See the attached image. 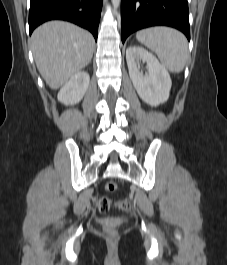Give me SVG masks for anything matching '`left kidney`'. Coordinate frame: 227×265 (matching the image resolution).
Listing matches in <instances>:
<instances>
[{
  "label": "left kidney",
  "mask_w": 227,
  "mask_h": 265,
  "mask_svg": "<svg viewBox=\"0 0 227 265\" xmlns=\"http://www.w3.org/2000/svg\"><path fill=\"white\" fill-rule=\"evenodd\" d=\"M140 60L147 64L146 75L140 72ZM126 61L130 79L139 97L154 107L165 103L169 98L172 82L168 71L157 58L142 47L131 46L126 50Z\"/></svg>",
  "instance_id": "left-kidney-1"
}]
</instances>
